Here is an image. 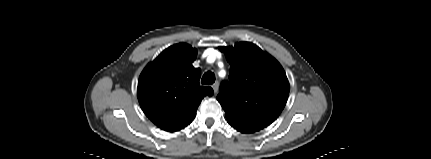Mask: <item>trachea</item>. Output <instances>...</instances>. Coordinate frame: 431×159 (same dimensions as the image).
<instances>
[{"mask_svg":"<svg viewBox=\"0 0 431 159\" xmlns=\"http://www.w3.org/2000/svg\"><path fill=\"white\" fill-rule=\"evenodd\" d=\"M215 82V75L213 72H206L202 79H201V83L204 85H212Z\"/></svg>","mask_w":431,"mask_h":159,"instance_id":"obj_1","label":"trachea"}]
</instances>
